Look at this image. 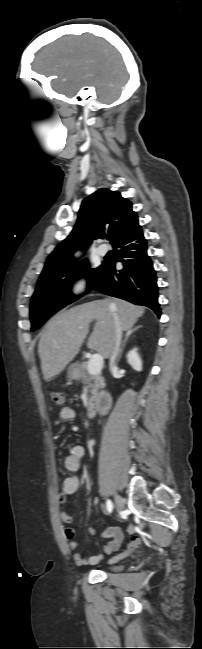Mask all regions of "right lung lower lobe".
I'll list each match as a JSON object with an SVG mask.
<instances>
[{
  "label": "right lung lower lobe",
  "mask_w": 202,
  "mask_h": 649,
  "mask_svg": "<svg viewBox=\"0 0 202 649\" xmlns=\"http://www.w3.org/2000/svg\"><path fill=\"white\" fill-rule=\"evenodd\" d=\"M119 248L117 261L124 268L116 270L115 260H106L92 285L104 294L151 308L160 317L156 271L147 254V242L141 229L113 244Z\"/></svg>",
  "instance_id": "98d812e1"
}]
</instances>
